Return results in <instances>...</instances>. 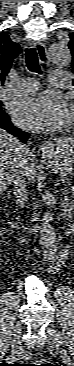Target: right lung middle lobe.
Returning a JSON list of instances; mask_svg holds the SVG:
<instances>
[{"instance_id":"right-lung-middle-lobe-1","label":"right lung middle lobe","mask_w":74,"mask_h":366,"mask_svg":"<svg viewBox=\"0 0 74 366\" xmlns=\"http://www.w3.org/2000/svg\"><path fill=\"white\" fill-rule=\"evenodd\" d=\"M6 113L1 109V101H0V117H2L3 115H5Z\"/></svg>"}]
</instances>
